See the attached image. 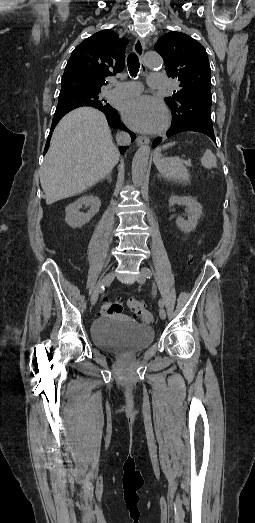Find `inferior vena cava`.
<instances>
[{"label": "inferior vena cava", "mask_w": 255, "mask_h": 523, "mask_svg": "<svg viewBox=\"0 0 255 523\" xmlns=\"http://www.w3.org/2000/svg\"><path fill=\"white\" fill-rule=\"evenodd\" d=\"M116 142L119 144V146H129L130 144V136L129 134H126V132H119L116 136Z\"/></svg>", "instance_id": "obj_1"}]
</instances>
